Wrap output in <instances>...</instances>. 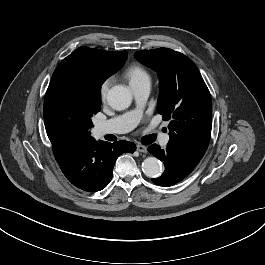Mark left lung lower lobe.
I'll return each mask as SVG.
<instances>
[{
    "label": "left lung lower lobe",
    "instance_id": "1",
    "mask_svg": "<svg viewBox=\"0 0 265 265\" xmlns=\"http://www.w3.org/2000/svg\"><path fill=\"white\" fill-rule=\"evenodd\" d=\"M148 151L164 162L165 170L163 174L158 178L152 179V181L159 186H172L181 181L192 171L186 168L168 148L163 150L160 149L156 144H153L149 146Z\"/></svg>",
    "mask_w": 265,
    "mask_h": 265
}]
</instances>
